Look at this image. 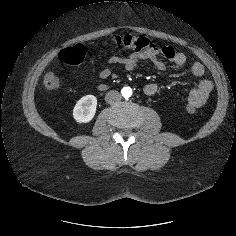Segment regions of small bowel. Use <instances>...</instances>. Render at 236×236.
Returning a JSON list of instances; mask_svg holds the SVG:
<instances>
[{
  "instance_id": "obj_1",
  "label": "small bowel",
  "mask_w": 236,
  "mask_h": 236,
  "mask_svg": "<svg viewBox=\"0 0 236 236\" xmlns=\"http://www.w3.org/2000/svg\"><path fill=\"white\" fill-rule=\"evenodd\" d=\"M167 59L178 66H183L186 61V55L182 52L176 51L172 46H164L162 48L153 47L149 51L133 52L127 57L112 56L109 58V67L98 71L97 75L100 79H106L110 77L115 70L121 69L123 71L135 70L142 61L149 60L152 62L155 69L163 71L166 68L163 59ZM191 73L197 79L198 84L190 91L188 97V106H192L194 109L203 106L212 90L213 83L209 79H204L205 68L200 62H193L190 66ZM144 92L148 96H153L157 92V85L155 83H148L144 86Z\"/></svg>"
}]
</instances>
